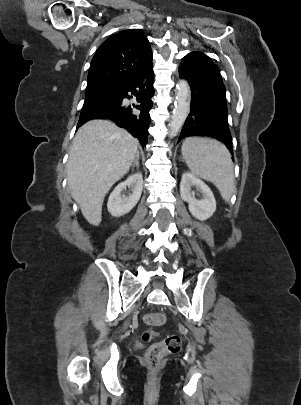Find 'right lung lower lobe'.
Masks as SVG:
<instances>
[{
    "instance_id": "right-lung-lower-lobe-1",
    "label": "right lung lower lobe",
    "mask_w": 301,
    "mask_h": 405,
    "mask_svg": "<svg viewBox=\"0 0 301 405\" xmlns=\"http://www.w3.org/2000/svg\"><path fill=\"white\" fill-rule=\"evenodd\" d=\"M153 82L154 73L151 63L135 79L126 84L113 101L92 109H82L77 127L92 119H109L119 127L127 129L144 146L147 143L148 128L151 121L149 111L153 104L151 100L154 94ZM128 91H131L136 97L139 105H133V107L139 110V113H134L131 106H122L124 98L133 97L127 94Z\"/></svg>"
}]
</instances>
